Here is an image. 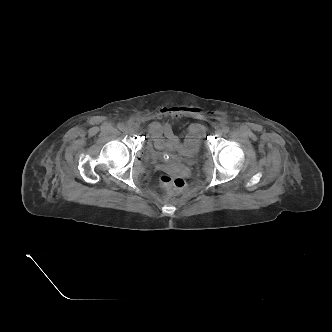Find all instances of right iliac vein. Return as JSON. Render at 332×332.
<instances>
[{
	"label": "right iliac vein",
	"mask_w": 332,
	"mask_h": 332,
	"mask_svg": "<svg viewBox=\"0 0 332 332\" xmlns=\"http://www.w3.org/2000/svg\"><path fill=\"white\" fill-rule=\"evenodd\" d=\"M124 131L126 133H132L133 132V128L131 126H126L125 129H124Z\"/></svg>",
	"instance_id": "1"
}]
</instances>
